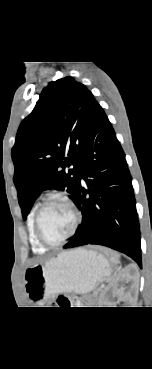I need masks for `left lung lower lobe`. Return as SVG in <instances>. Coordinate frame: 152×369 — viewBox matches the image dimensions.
Instances as JSON below:
<instances>
[{"label": "left lung lower lobe", "mask_w": 152, "mask_h": 369, "mask_svg": "<svg viewBox=\"0 0 152 369\" xmlns=\"http://www.w3.org/2000/svg\"><path fill=\"white\" fill-rule=\"evenodd\" d=\"M74 204L83 214L82 223L63 248L103 245L125 253L142 267L132 177L123 149L101 106L81 154Z\"/></svg>", "instance_id": "1"}]
</instances>
